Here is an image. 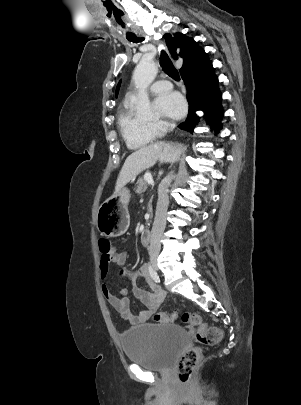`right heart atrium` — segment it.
<instances>
[{"label":"right heart atrium","instance_id":"d8ad5b80","mask_svg":"<svg viewBox=\"0 0 301 405\" xmlns=\"http://www.w3.org/2000/svg\"><path fill=\"white\" fill-rule=\"evenodd\" d=\"M167 127V122L163 120L156 121L151 124V128L156 134L162 133Z\"/></svg>","mask_w":301,"mask_h":405}]
</instances>
